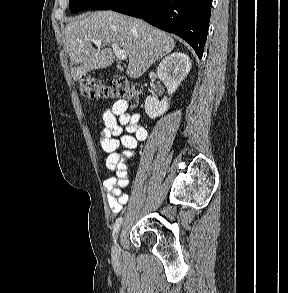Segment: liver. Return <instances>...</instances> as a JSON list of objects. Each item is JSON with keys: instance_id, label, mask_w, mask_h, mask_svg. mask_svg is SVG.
Masks as SVG:
<instances>
[{"instance_id": "liver-1", "label": "liver", "mask_w": 288, "mask_h": 293, "mask_svg": "<svg viewBox=\"0 0 288 293\" xmlns=\"http://www.w3.org/2000/svg\"><path fill=\"white\" fill-rule=\"evenodd\" d=\"M92 39L102 40V47L93 48ZM65 40L75 81L83 74L113 63L111 43L126 51L129 61L126 73L135 79L175 48V41L165 32L141 19L113 11H97L72 19L66 25Z\"/></svg>"}]
</instances>
